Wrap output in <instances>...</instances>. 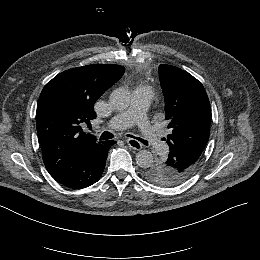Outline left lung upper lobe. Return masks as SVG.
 Segmentation results:
<instances>
[{
  "label": "left lung upper lobe",
  "instance_id": "left-lung-upper-lobe-1",
  "mask_svg": "<svg viewBox=\"0 0 260 260\" xmlns=\"http://www.w3.org/2000/svg\"><path fill=\"white\" fill-rule=\"evenodd\" d=\"M165 97L168 159L148 167L144 176L161 186L186 180L202 159L210 134V103L203 85L192 75L170 65L159 66Z\"/></svg>",
  "mask_w": 260,
  "mask_h": 260
}]
</instances>
